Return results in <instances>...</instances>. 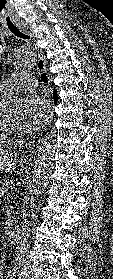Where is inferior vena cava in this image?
Returning <instances> with one entry per match:
<instances>
[{
	"label": "inferior vena cava",
	"instance_id": "obj_1",
	"mask_svg": "<svg viewBox=\"0 0 113 279\" xmlns=\"http://www.w3.org/2000/svg\"><path fill=\"white\" fill-rule=\"evenodd\" d=\"M24 214V221L22 224V234L21 239L17 248V254L15 259V267L18 272L22 275L30 273V263H29V252H30V227L29 222Z\"/></svg>",
	"mask_w": 113,
	"mask_h": 279
}]
</instances>
